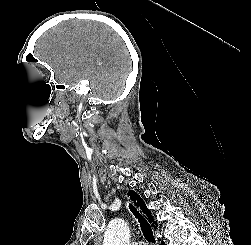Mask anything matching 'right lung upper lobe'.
<instances>
[{
	"mask_svg": "<svg viewBox=\"0 0 251 245\" xmlns=\"http://www.w3.org/2000/svg\"><path fill=\"white\" fill-rule=\"evenodd\" d=\"M128 196H130V198L134 202V204L137 207H139L144 214H146V217L148 218V220L150 221V223H152L153 226L156 225V222L153 220L151 212L146 207V205H145L144 201L142 200V198L136 192H134V191H129L128 192Z\"/></svg>",
	"mask_w": 251,
	"mask_h": 245,
	"instance_id": "cb5924a9",
	"label": "right lung upper lobe"
}]
</instances>
